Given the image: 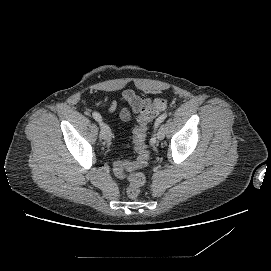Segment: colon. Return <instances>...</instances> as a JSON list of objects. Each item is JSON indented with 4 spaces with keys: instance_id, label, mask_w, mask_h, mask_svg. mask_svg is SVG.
Segmentation results:
<instances>
[{
    "instance_id": "1",
    "label": "colon",
    "mask_w": 271,
    "mask_h": 271,
    "mask_svg": "<svg viewBox=\"0 0 271 271\" xmlns=\"http://www.w3.org/2000/svg\"><path fill=\"white\" fill-rule=\"evenodd\" d=\"M167 106V101L162 98L155 99L153 103L144 108L138 117V124L134 129V150L136 159L134 161H119L114 163V174L122 179H127V195L129 198H136L145 182L142 173L133 172L136 169L143 168L149 160L147 149V128L148 124Z\"/></svg>"
}]
</instances>
